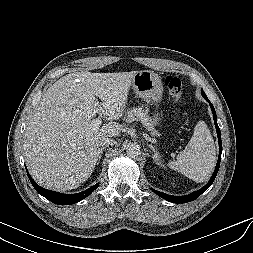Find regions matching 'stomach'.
Listing matches in <instances>:
<instances>
[{"label":"stomach","instance_id":"obj_1","mask_svg":"<svg viewBox=\"0 0 253 253\" xmlns=\"http://www.w3.org/2000/svg\"><path fill=\"white\" fill-rule=\"evenodd\" d=\"M132 89L142 99L158 105L162 100L163 84L158 74L153 71H139L133 77ZM161 113L153 116L152 123L157 125L161 120Z\"/></svg>","mask_w":253,"mask_h":253}]
</instances>
